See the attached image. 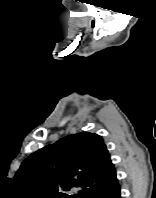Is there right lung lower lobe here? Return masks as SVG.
Returning <instances> with one entry per match:
<instances>
[{"label": "right lung lower lobe", "instance_id": "1", "mask_svg": "<svg viewBox=\"0 0 156 198\" xmlns=\"http://www.w3.org/2000/svg\"><path fill=\"white\" fill-rule=\"evenodd\" d=\"M105 198H121V196H120V187L119 186L116 187Z\"/></svg>", "mask_w": 156, "mask_h": 198}]
</instances>
